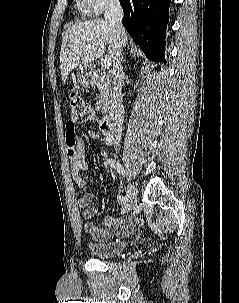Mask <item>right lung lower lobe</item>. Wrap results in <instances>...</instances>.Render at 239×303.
<instances>
[{"instance_id":"obj_1","label":"right lung lower lobe","mask_w":239,"mask_h":303,"mask_svg":"<svg viewBox=\"0 0 239 303\" xmlns=\"http://www.w3.org/2000/svg\"><path fill=\"white\" fill-rule=\"evenodd\" d=\"M122 23L147 58L166 63L165 36L170 0H120Z\"/></svg>"}]
</instances>
